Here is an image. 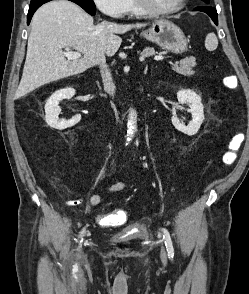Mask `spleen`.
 Listing matches in <instances>:
<instances>
[{"instance_id": "3e777b00", "label": "spleen", "mask_w": 249, "mask_h": 294, "mask_svg": "<svg viewBox=\"0 0 249 294\" xmlns=\"http://www.w3.org/2000/svg\"><path fill=\"white\" fill-rule=\"evenodd\" d=\"M218 46V39L214 33H209L205 39V47L209 51H213Z\"/></svg>"}]
</instances>
